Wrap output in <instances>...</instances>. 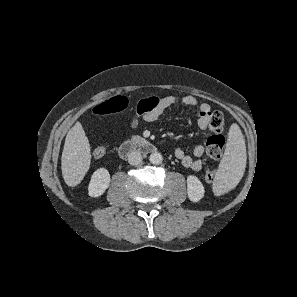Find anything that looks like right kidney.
<instances>
[{
	"mask_svg": "<svg viewBox=\"0 0 297 297\" xmlns=\"http://www.w3.org/2000/svg\"><path fill=\"white\" fill-rule=\"evenodd\" d=\"M110 174L105 168L97 169L90 180L88 192L91 197L101 196L110 185Z\"/></svg>",
	"mask_w": 297,
	"mask_h": 297,
	"instance_id": "ca27d5eb",
	"label": "right kidney"
}]
</instances>
